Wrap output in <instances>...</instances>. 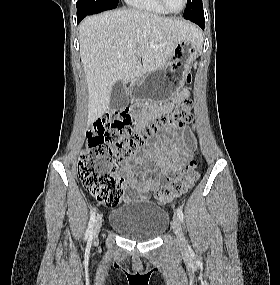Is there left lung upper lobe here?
Listing matches in <instances>:
<instances>
[{
    "mask_svg": "<svg viewBox=\"0 0 280 285\" xmlns=\"http://www.w3.org/2000/svg\"><path fill=\"white\" fill-rule=\"evenodd\" d=\"M204 17L202 0H187L184 18L190 21Z\"/></svg>",
    "mask_w": 280,
    "mask_h": 285,
    "instance_id": "1",
    "label": "left lung upper lobe"
}]
</instances>
